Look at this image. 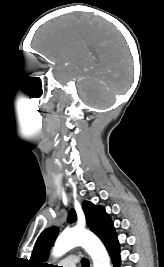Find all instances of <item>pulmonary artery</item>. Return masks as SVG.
Segmentation results:
<instances>
[{"instance_id": "obj_1", "label": "pulmonary artery", "mask_w": 164, "mask_h": 267, "mask_svg": "<svg viewBox=\"0 0 164 267\" xmlns=\"http://www.w3.org/2000/svg\"><path fill=\"white\" fill-rule=\"evenodd\" d=\"M77 259L75 258H67L62 262L63 267H76Z\"/></svg>"}]
</instances>
